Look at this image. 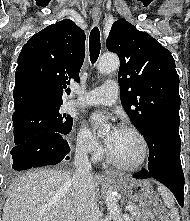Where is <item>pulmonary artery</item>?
<instances>
[{"label":"pulmonary artery","mask_w":190,"mask_h":221,"mask_svg":"<svg viewBox=\"0 0 190 221\" xmlns=\"http://www.w3.org/2000/svg\"><path fill=\"white\" fill-rule=\"evenodd\" d=\"M78 93V90L75 89ZM118 84L115 80H107L100 87L81 94L71 102L74 106L112 105L118 98Z\"/></svg>","instance_id":"1"}]
</instances>
